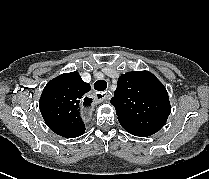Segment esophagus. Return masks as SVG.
Returning <instances> with one entry per match:
<instances>
[{
    "instance_id": "esophagus-1",
    "label": "esophagus",
    "mask_w": 209,
    "mask_h": 179,
    "mask_svg": "<svg viewBox=\"0 0 209 179\" xmlns=\"http://www.w3.org/2000/svg\"><path fill=\"white\" fill-rule=\"evenodd\" d=\"M112 93L109 90H106L102 93L88 94L81 101V109L83 110L81 113V118L84 122L89 123L93 119V107H95L98 102H102L111 98Z\"/></svg>"
}]
</instances>
